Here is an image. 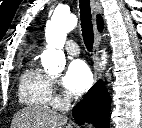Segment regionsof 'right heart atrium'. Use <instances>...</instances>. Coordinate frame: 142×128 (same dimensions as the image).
Here are the masks:
<instances>
[{
  "instance_id": "d8ad5b80",
  "label": "right heart atrium",
  "mask_w": 142,
  "mask_h": 128,
  "mask_svg": "<svg viewBox=\"0 0 142 128\" xmlns=\"http://www.w3.org/2000/svg\"><path fill=\"white\" fill-rule=\"evenodd\" d=\"M49 84H50L51 90L56 89V87H57V82H56L55 79L49 78Z\"/></svg>"
}]
</instances>
